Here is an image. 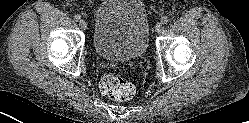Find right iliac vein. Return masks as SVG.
<instances>
[{
  "mask_svg": "<svg viewBox=\"0 0 249 123\" xmlns=\"http://www.w3.org/2000/svg\"><path fill=\"white\" fill-rule=\"evenodd\" d=\"M79 26L82 30H85L87 28V23L85 20H79Z\"/></svg>",
  "mask_w": 249,
  "mask_h": 123,
  "instance_id": "obj_1",
  "label": "right iliac vein"
}]
</instances>
